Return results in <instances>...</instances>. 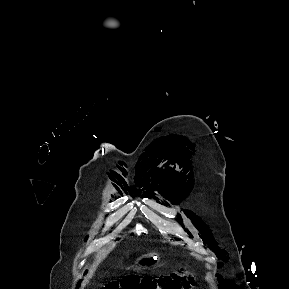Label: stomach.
I'll list each match as a JSON object with an SVG mask.
<instances>
[{
  "mask_svg": "<svg viewBox=\"0 0 289 289\" xmlns=\"http://www.w3.org/2000/svg\"><path fill=\"white\" fill-rule=\"evenodd\" d=\"M157 260L155 254H149L145 255L138 259V261L135 264V269L142 270L147 268L149 265L155 263Z\"/></svg>",
  "mask_w": 289,
  "mask_h": 289,
  "instance_id": "stomach-1",
  "label": "stomach"
}]
</instances>
